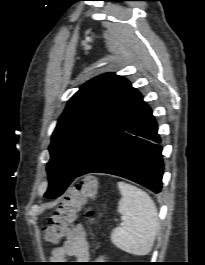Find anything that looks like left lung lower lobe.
Masks as SVG:
<instances>
[{
    "label": "left lung lower lobe",
    "instance_id": "1",
    "mask_svg": "<svg viewBox=\"0 0 205 265\" xmlns=\"http://www.w3.org/2000/svg\"><path fill=\"white\" fill-rule=\"evenodd\" d=\"M157 131L151 108L141 101L121 129L89 159L76 177L108 173L160 192L164 164Z\"/></svg>",
    "mask_w": 205,
    "mask_h": 265
}]
</instances>
